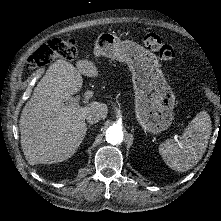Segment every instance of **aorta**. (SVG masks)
<instances>
[{
    "label": "aorta",
    "instance_id": "obj_1",
    "mask_svg": "<svg viewBox=\"0 0 221 221\" xmlns=\"http://www.w3.org/2000/svg\"><path fill=\"white\" fill-rule=\"evenodd\" d=\"M123 138L122 127L119 125H112L106 130V141L112 145L120 144Z\"/></svg>",
    "mask_w": 221,
    "mask_h": 221
}]
</instances>
